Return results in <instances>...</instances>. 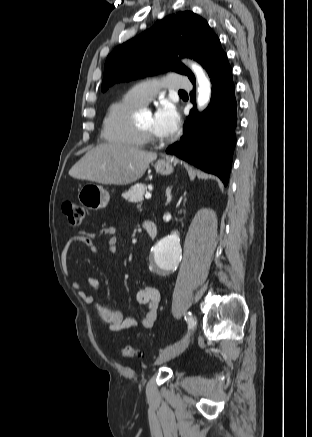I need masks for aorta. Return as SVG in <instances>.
<instances>
[{
	"instance_id": "aorta-1",
	"label": "aorta",
	"mask_w": 312,
	"mask_h": 437,
	"mask_svg": "<svg viewBox=\"0 0 312 437\" xmlns=\"http://www.w3.org/2000/svg\"><path fill=\"white\" fill-rule=\"evenodd\" d=\"M191 68L196 75L199 89H198V107L203 109L210 100V82L208 81L204 71L197 64H192ZM181 247L178 232L161 239L154 248V261L157 270L167 271L174 268L180 261Z\"/></svg>"
}]
</instances>
